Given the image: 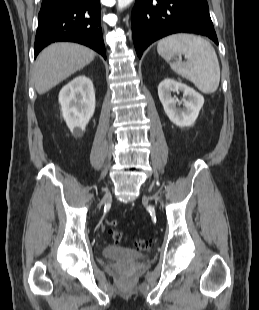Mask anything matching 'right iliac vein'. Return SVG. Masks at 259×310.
<instances>
[{
    "label": "right iliac vein",
    "instance_id": "obj_1",
    "mask_svg": "<svg viewBox=\"0 0 259 310\" xmlns=\"http://www.w3.org/2000/svg\"><path fill=\"white\" fill-rule=\"evenodd\" d=\"M111 199V194L110 192H106L105 194V200H110Z\"/></svg>",
    "mask_w": 259,
    "mask_h": 310
}]
</instances>
